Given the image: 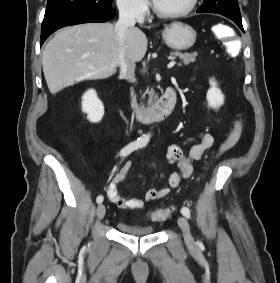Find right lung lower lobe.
Returning a JSON list of instances; mask_svg holds the SVG:
<instances>
[{
  "label": "right lung lower lobe",
  "mask_w": 280,
  "mask_h": 283,
  "mask_svg": "<svg viewBox=\"0 0 280 283\" xmlns=\"http://www.w3.org/2000/svg\"><path fill=\"white\" fill-rule=\"evenodd\" d=\"M115 15V9L107 11L65 10L44 16L41 26V44L57 29L82 23L106 22Z\"/></svg>",
  "instance_id": "98d812e1"
}]
</instances>
